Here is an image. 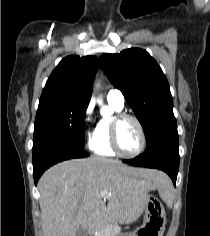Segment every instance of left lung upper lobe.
Wrapping results in <instances>:
<instances>
[{
	"mask_svg": "<svg viewBox=\"0 0 210 236\" xmlns=\"http://www.w3.org/2000/svg\"><path fill=\"white\" fill-rule=\"evenodd\" d=\"M99 64L134 110L147 145L158 135L177 129L168 81L147 51L130 48L120 54H104Z\"/></svg>",
	"mask_w": 210,
	"mask_h": 236,
	"instance_id": "obj_1",
	"label": "left lung upper lobe"
}]
</instances>
